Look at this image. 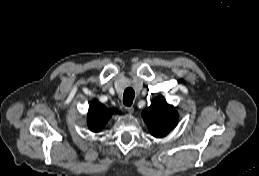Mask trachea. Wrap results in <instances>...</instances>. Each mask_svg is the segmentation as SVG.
<instances>
[{"instance_id": "obj_1", "label": "trachea", "mask_w": 259, "mask_h": 176, "mask_svg": "<svg viewBox=\"0 0 259 176\" xmlns=\"http://www.w3.org/2000/svg\"><path fill=\"white\" fill-rule=\"evenodd\" d=\"M134 96H135V92H134L133 88H130V87L127 88L124 91L123 104L128 107L131 106L133 103Z\"/></svg>"}]
</instances>
